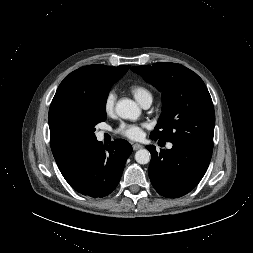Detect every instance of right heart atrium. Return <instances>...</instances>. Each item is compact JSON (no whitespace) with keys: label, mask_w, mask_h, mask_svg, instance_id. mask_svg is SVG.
<instances>
[{"label":"right heart atrium","mask_w":253,"mask_h":253,"mask_svg":"<svg viewBox=\"0 0 253 253\" xmlns=\"http://www.w3.org/2000/svg\"><path fill=\"white\" fill-rule=\"evenodd\" d=\"M115 103H116V94L114 91H109L104 99V112L107 115H111L114 112L115 109Z\"/></svg>","instance_id":"right-heart-atrium-1"}]
</instances>
